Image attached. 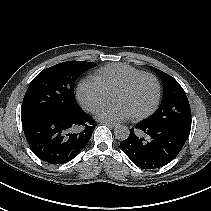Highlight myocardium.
Instances as JSON below:
<instances>
[{"instance_id":"1","label":"myocardium","mask_w":211,"mask_h":211,"mask_svg":"<svg viewBox=\"0 0 211 211\" xmlns=\"http://www.w3.org/2000/svg\"><path fill=\"white\" fill-rule=\"evenodd\" d=\"M143 78H150L154 81L155 86H156V96H155V100L150 108H148L144 112L132 115L134 119L146 118V117L150 116L151 114H153L156 111V109L158 108L160 99H161V84H160L159 79L154 74L145 72V73L139 74V75L129 79L128 81H126L125 83H123L122 85L117 87L112 93V95H114L115 93L126 91L129 88H131L135 83H137L138 81H140Z\"/></svg>"}]
</instances>
